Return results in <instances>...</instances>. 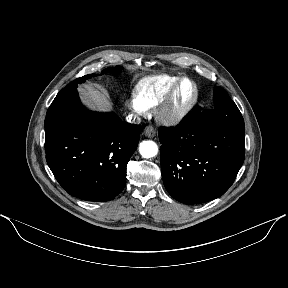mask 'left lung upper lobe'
<instances>
[{
  "mask_svg": "<svg viewBox=\"0 0 288 288\" xmlns=\"http://www.w3.org/2000/svg\"><path fill=\"white\" fill-rule=\"evenodd\" d=\"M213 96L215 107L205 111L206 118L245 131L243 117L228 93L223 88L216 86Z\"/></svg>",
  "mask_w": 288,
  "mask_h": 288,
  "instance_id": "5c2ea615",
  "label": "left lung upper lobe"
}]
</instances>
